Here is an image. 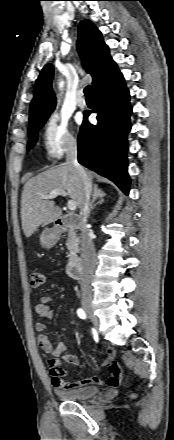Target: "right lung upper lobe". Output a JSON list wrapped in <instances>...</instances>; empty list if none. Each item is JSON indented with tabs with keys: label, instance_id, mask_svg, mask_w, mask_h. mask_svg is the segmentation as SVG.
<instances>
[{
	"label": "right lung upper lobe",
	"instance_id": "obj_1",
	"mask_svg": "<svg viewBox=\"0 0 174 440\" xmlns=\"http://www.w3.org/2000/svg\"><path fill=\"white\" fill-rule=\"evenodd\" d=\"M77 47L85 70L93 77L92 85L95 89L115 62L110 57L101 32L89 20H83L79 24ZM53 73L52 64H47L36 80L29 125L47 120L56 106V98L52 90Z\"/></svg>",
	"mask_w": 174,
	"mask_h": 440
}]
</instances>
